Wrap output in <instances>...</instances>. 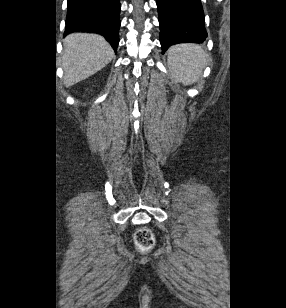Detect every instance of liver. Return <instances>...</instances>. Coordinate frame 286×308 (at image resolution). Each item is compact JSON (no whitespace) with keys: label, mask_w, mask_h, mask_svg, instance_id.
Segmentation results:
<instances>
[{"label":"liver","mask_w":286,"mask_h":308,"mask_svg":"<svg viewBox=\"0 0 286 308\" xmlns=\"http://www.w3.org/2000/svg\"><path fill=\"white\" fill-rule=\"evenodd\" d=\"M64 85L69 87L94 75L114 57L109 43L100 35L75 33L64 41Z\"/></svg>","instance_id":"6515ba94"}]
</instances>
